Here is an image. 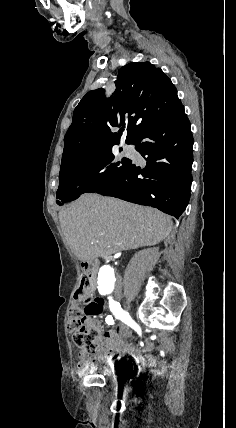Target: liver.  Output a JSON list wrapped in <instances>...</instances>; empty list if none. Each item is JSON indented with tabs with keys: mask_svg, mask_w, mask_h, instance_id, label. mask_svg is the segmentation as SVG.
<instances>
[{
	"mask_svg": "<svg viewBox=\"0 0 236 428\" xmlns=\"http://www.w3.org/2000/svg\"><path fill=\"white\" fill-rule=\"evenodd\" d=\"M62 232L76 258L91 262L121 250L155 246L169 236V216L116 198L84 194L59 212Z\"/></svg>",
	"mask_w": 236,
	"mask_h": 428,
	"instance_id": "obj_1",
	"label": "liver"
}]
</instances>
